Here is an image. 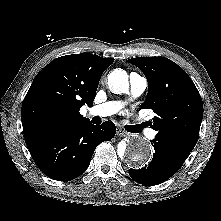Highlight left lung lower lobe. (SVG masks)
I'll use <instances>...</instances> for the list:
<instances>
[{"label": "left lung lower lobe", "instance_id": "1", "mask_svg": "<svg viewBox=\"0 0 221 221\" xmlns=\"http://www.w3.org/2000/svg\"><path fill=\"white\" fill-rule=\"evenodd\" d=\"M155 153L147 167L129 169L131 178L139 184L157 185L174 175L193 149L162 137L151 140Z\"/></svg>", "mask_w": 221, "mask_h": 221}]
</instances>
